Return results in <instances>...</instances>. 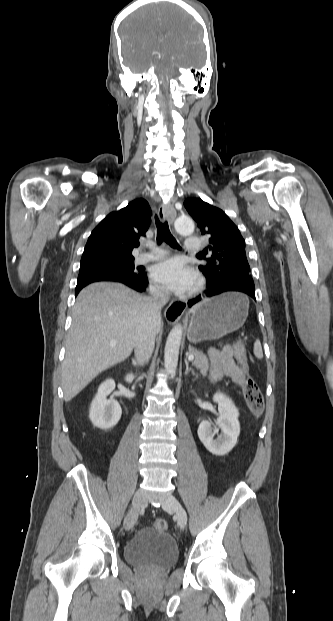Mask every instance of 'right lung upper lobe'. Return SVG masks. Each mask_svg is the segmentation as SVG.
<instances>
[{"mask_svg": "<svg viewBox=\"0 0 333 621\" xmlns=\"http://www.w3.org/2000/svg\"><path fill=\"white\" fill-rule=\"evenodd\" d=\"M152 211L142 198L131 201L119 211L108 214L92 231L86 243L83 258L133 257L132 250L139 246L151 222Z\"/></svg>", "mask_w": 333, "mask_h": 621, "instance_id": "right-lung-upper-lobe-1", "label": "right lung upper lobe"}]
</instances>
